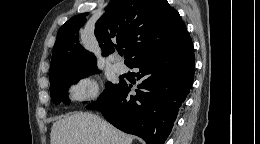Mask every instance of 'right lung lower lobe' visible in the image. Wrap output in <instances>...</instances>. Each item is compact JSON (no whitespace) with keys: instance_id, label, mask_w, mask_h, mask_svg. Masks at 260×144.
I'll use <instances>...</instances> for the list:
<instances>
[{"instance_id":"98d812e1","label":"right lung lower lobe","mask_w":260,"mask_h":144,"mask_svg":"<svg viewBox=\"0 0 260 144\" xmlns=\"http://www.w3.org/2000/svg\"><path fill=\"white\" fill-rule=\"evenodd\" d=\"M139 68L135 94L121 80L86 108L100 110L118 129L141 137L147 144H164L179 107L194 79V48L187 33L179 41L145 53L127 64Z\"/></svg>"}]
</instances>
